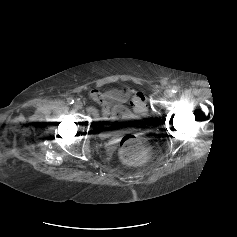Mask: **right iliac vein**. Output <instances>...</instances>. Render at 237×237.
<instances>
[{
    "label": "right iliac vein",
    "instance_id": "1",
    "mask_svg": "<svg viewBox=\"0 0 237 237\" xmlns=\"http://www.w3.org/2000/svg\"><path fill=\"white\" fill-rule=\"evenodd\" d=\"M74 107L79 110L83 107V103L80 100H77L74 103Z\"/></svg>",
    "mask_w": 237,
    "mask_h": 237
}]
</instances>
